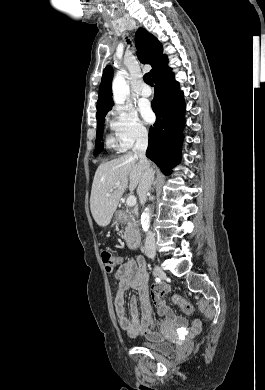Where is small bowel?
<instances>
[{"instance_id": "c3829d8e", "label": "small bowel", "mask_w": 265, "mask_h": 390, "mask_svg": "<svg viewBox=\"0 0 265 390\" xmlns=\"http://www.w3.org/2000/svg\"><path fill=\"white\" fill-rule=\"evenodd\" d=\"M119 268L115 273L117 290L114 300L115 314L119 327L130 337L145 335L148 338H158L160 335L154 331L152 313L153 305L158 313L166 317L167 321L184 329L188 335H196L201 331V321L193 320L186 327V320L176 316L164 302L167 287L164 284H155L151 289L148 286V272L145 259L141 255L119 258ZM129 289L137 291L129 302V314H126L125 296ZM140 303L141 317H139L138 304Z\"/></svg>"}]
</instances>
